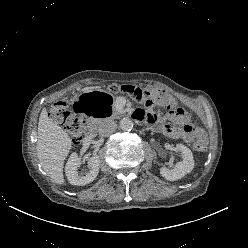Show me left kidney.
<instances>
[{
    "label": "left kidney",
    "mask_w": 248,
    "mask_h": 248,
    "mask_svg": "<svg viewBox=\"0 0 248 248\" xmlns=\"http://www.w3.org/2000/svg\"><path fill=\"white\" fill-rule=\"evenodd\" d=\"M175 149L181 153L182 161L177 163L173 169H167L166 167L160 168L162 177L169 181L181 179L186 174L190 173L195 165L193 154L188 147L183 144H177Z\"/></svg>",
    "instance_id": "obj_1"
}]
</instances>
